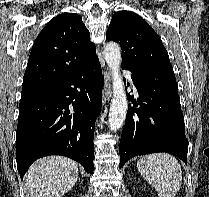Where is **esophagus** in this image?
Masks as SVG:
<instances>
[{"label": "esophagus", "instance_id": "obj_1", "mask_svg": "<svg viewBox=\"0 0 209 197\" xmlns=\"http://www.w3.org/2000/svg\"><path fill=\"white\" fill-rule=\"evenodd\" d=\"M112 95L111 91V74L109 71L105 72V82H104V89L102 94L103 103L108 101Z\"/></svg>", "mask_w": 209, "mask_h": 197}]
</instances>
